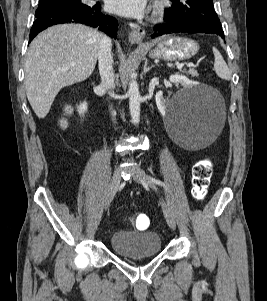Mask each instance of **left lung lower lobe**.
Wrapping results in <instances>:
<instances>
[{"instance_id":"obj_1","label":"left lung lower lobe","mask_w":267,"mask_h":301,"mask_svg":"<svg viewBox=\"0 0 267 301\" xmlns=\"http://www.w3.org/2000/svg\"><path fill=\"white\" fill-rule=\"evenodd\" d=\"M154 30L155 33L152 35V38L171 33H207L216 34L223 39L225 38L223 30L216 29L210 25L196 21H168L167 23L156 25Z\"/></svg>"}]
</instances>
